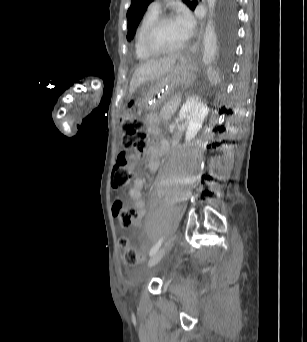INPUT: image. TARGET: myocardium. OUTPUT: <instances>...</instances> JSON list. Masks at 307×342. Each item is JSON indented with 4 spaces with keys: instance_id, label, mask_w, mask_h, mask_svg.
<instances>
[{
    "instance_id": "myocardium-1",
    "label": "myocardium",
    "mask_w": 307,
    "mask_h": 342,
    "mask_svg": "<svg viewBox=\"0 0 307 342\" xmlns=\"http://www.w3.org/2000/svg\"><path fill=\"white\" fill-rule=\"evenodd\" d=\"M165 22H178L177 18L172 16V15H158L155 17L146 27L141 44L142 48L144 51L153 56V57H162V56H173L182 53L186 47H187V42L183 44L181 47L173 50H159L155 48L152 44V38L157 31V29Z\"/></svg>"
}]
</instances>
